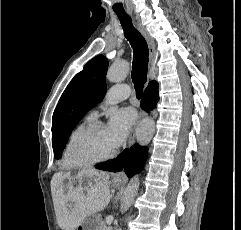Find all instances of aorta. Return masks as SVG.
Returning <instances> with one entry per match:
<instances>
[{
    "label": "aorta",
    "instance_id": "1",
    "mask_svg": "<svg viewBox=\"0 0 241 230\" xmlns=\"http://www.w3.org/2000/svg\"><path fill=\"white\" fill-rule=\"evenodd\" d=\"M129 63L125 60L116 61L108 69L106 78L112 83L123 81L129 73ZM155 132V122L151 118H145L139 124L137 129V142L141 146H146L151 141ZM139 189V175L136 174L130 179L127 187L121 196L120 210L122 213L127 211L134 200V197Z\"/></svg>",
    "mask_w": 241,
    "mask_h": 230
}]
</instances>
